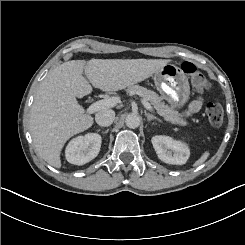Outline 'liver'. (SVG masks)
<instances>
[{"instance_id":"liver-1","label":"liver","mask_w":245,"mask_h":245,"mask_svg":"<svg viewBox=\"0 0 245 245\" xmlns=\"http://www.w3.org/2000/svg\"><path fill=\"white\" fill-rule=\"evenodd\" d=\"M162 59L72 60L52 69L36 92L29 120L33 143L41 158L60 168V152L72 136L90 128L93 117L76 98L92 91H118L141 82L166 65Z\"/></svg>"}]
</instances>
